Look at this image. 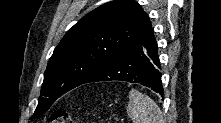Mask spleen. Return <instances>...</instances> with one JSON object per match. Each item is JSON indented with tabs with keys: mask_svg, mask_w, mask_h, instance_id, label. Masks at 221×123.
<instances>
[{
	"mask_svg": "<svg viewBox=\"0 0 221 123\" xmlns=\"http://www.w3.org/2000/svg\"><path fill=\"white\" fill-rule=\"evenodd\" d=\"M128 98L127 115L132 123H162L161 110L151 98L135 89Z\"/></svg>",
	"mask_w": 221,
	"mask_h": 123,
	"instance_id": "3e777b00",
	"label": "spleen"
}]
</instances>
